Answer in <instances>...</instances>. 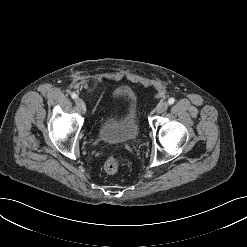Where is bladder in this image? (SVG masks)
<instances>
[{"label": "bladder", "mask_w": 247, "mask_h": 247, "mask_svg": "<svg viewBox=\"0 0 247 247\" xmlns=\"http://www.w3.org/2000/svg\"><path fill=\"white\" fill-rule=\"evenodd\" d=\"M116 100L124 105L116 116L103 120L99 126V136L108 143H127L139 135L137 102L127 88H119L115 92Z\"/></svg>", "instance_id": "obj_1"}]
</instances>
